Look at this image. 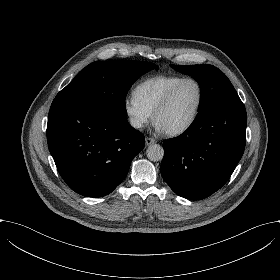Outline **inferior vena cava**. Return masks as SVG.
Here are the masks:
<instances>
[{
  "label": "inferior vena cava",
  "instance_id": "602c4592",
  "mask_svg": "<svg viewBox=\"0 0 280 280\" xmlns=\"http://www.w3.org/2000/svg\"><path fill=\"white\" fill-rule=\"evenodd\" d=\"M130 124L134 128H141L143 124V120L137 117L130 118Z\"/></svg>",
  "mask_w": 280,
  "mask_h": 280
}]
</instances>
